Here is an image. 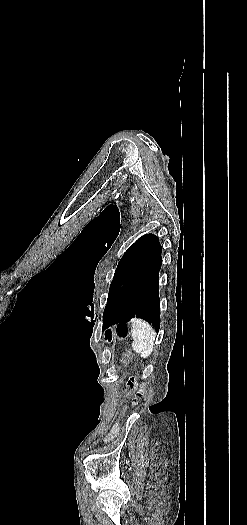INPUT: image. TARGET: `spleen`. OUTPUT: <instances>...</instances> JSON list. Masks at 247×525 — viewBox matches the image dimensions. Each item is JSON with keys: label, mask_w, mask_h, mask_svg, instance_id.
Instances as JSON below:
<instances>
[{"label": "spleen", "mask_w": 247, "mask_h": 525, "mask_svg": "<svg viewBox=\"0 0 247 525\" xmlns=\"http://www.w3.org/2000/svg\"><path fill=\"white\" fill-rule=\"evenodd\" d=\"M132 349L139 353L142 359H148L154 351L156 333L143 319H132Z\"/></svg>", "instance_id": "1"}]
</instances>
